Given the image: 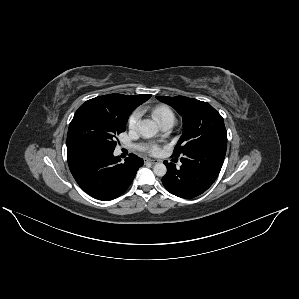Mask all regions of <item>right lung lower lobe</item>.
Instances as JSON below:
<instances>
[{
    "instance_id": "1",
    "label": "right lung lower lobe",
    "mask_w": 299,
    "mask_h": 299,
    "mask_svg": "<svg viewBox=\"0 0 299 299\" xmlns=\"http://www.w3.org/2000/svg\"><path fill=\"white\" fill-rule=\"evenodd\" d=\"M112 149L80 147L67 151L70 171L78 185L90 196L108 201L119 197L143 165L142 158L130 154L124 163Z\"/></svg>"
}]
</instances>
